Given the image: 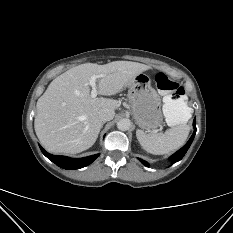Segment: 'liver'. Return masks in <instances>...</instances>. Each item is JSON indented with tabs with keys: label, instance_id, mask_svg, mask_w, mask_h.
<instances>
[{
	"label": "liver",
	"instance_id": "6515ba94",
	"mask_svg": "<svg viewBox=\"0 0 233 233\" xmlns=\"http://www.w3.org/2000/svg\"><path fill=\"white\" fill-rule=\"evenodd\" d=\"M148 69L147 65L131 61L85 63L56 77L36 105L34 128L42 145L49 152L68 154L90 148L103 125L98 112L119 106L114 99L91 97V76H103L98 80V92L110 96L122 91L133 77Z\"/></svg>",
	"mask_w": 233,
	"mask_h": 233
}]
</instances>
